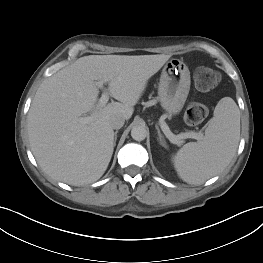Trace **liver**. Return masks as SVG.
I'll return each instance as SVG.
<instances>
[{
  "label": "liver",
  "mask_w": 263,
  "mask_h": 263,
  "mask_svg": "<svg viewBox=\"0 0 263 263\" xmlns=\"http://www.w3.org/2000/svg\"><path fill=\"white\" fill-rule=\"evenodd\" d=\"M171 55H89L77 59L45 79L28 114L32 153L51 178L70 185L97 181L106 171L114 150L111 119L128 120L148 80ZM109 83L118 100L97 108L96 82ZM91 113L89 123L81 116Z\"/></svg>",
  "instance_id": "obj_1"
}]
</instances>
